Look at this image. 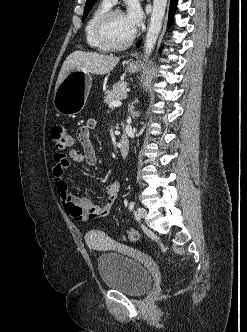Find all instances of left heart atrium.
<instances>
[{
	"label": "left heart atrium",
	"mask_w": 247,
	"mask_h": 332,
	"mask_svg": "<svg viewBox=\"0 0 247 332\" xmlns=\"http://www.w3.org/2000/svg\"><path fill=\"white\" fill-rule=\"evenodd\" d=\"M125 18H126L128 24L131 26V28L133 30H135L142 23L143 13L138 5L132 4L128 8V10L125 14Z\"/></svg>",
	"instance_id": "39dd6f15"
}]
</instances>
